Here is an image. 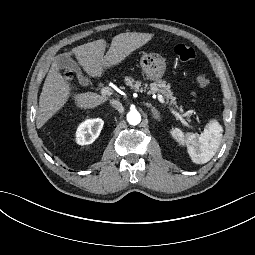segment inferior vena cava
Wrapping results in <instances>:
<instances>
[{"label":"inferior vena cava","instance_id":"obj_1","mask_svg":"<svg viewBox=\"0 0 255 255\" xmlns=\"http://www.w3.org/2000/svg\"><path fill=\"white\" fill-rule=\"evenodd\" d=\"M110 105H111L114 109H116L117 111H119V112H123V111H124L123 105H122L119 101H117V100H115V99H111V100H110Z\"/></svg>","mask_w":255,"mask_h":255}]
</instances>
